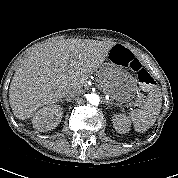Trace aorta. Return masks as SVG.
<instances>
[{"instance_id":"aorta-1","label":"aorta","mask_w":178,"mask_h":178,"mask_svg":"<svg viewBox=\"0 0 178 178\" xmlns=\"http://www.w3.org/2000/svg\"><path fill=\"white\" fill-rule=\"evenodd\" d=\"M87 100L92 104V105H99L100 103V97L97 94H89L87 97Z\"/></svg>"}]
</instances>
